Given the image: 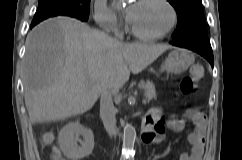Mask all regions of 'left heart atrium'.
I'll return each mask as SVG.
<instances>
[{
  "mask_svg": "<svg viewBox=\"0 0 242 160\" xmlns=\"http://www.w3.org/2000/svg\"><path fill=\"white\" fill-rule=\"evenodd\" d=\"M131 13H132V5H130L129 7H127L126 9V15L129 19V17L131 16Z\"/></svg>",
  "mask_w": 242,
  "mask_h": 160,
  "instance_id": "obj_1",
  "label": "left heart atrium"
}]
</instances>
